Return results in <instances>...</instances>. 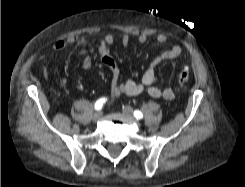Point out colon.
Returning a JSON list of instances; mask_svg holds the SVG:
<instances>
[{
	"label": "colon",
	"instance_id": "1",
	"mask_svg": "<svg viewBox=\"0 0 245 187\" xmlns=\"http://www.w3.org/2000/svg\"><path fill=\"white\" fill-rule=\"evenodd\" d=\"M190 77V71L187 67H183L180 69L178 73V81L181 86H185L189 80Z\"/></svg>",
	"mask_w": 245,
	"mask_h": 187
}]
</instances>
